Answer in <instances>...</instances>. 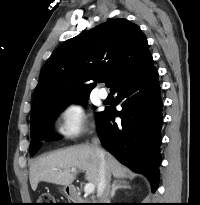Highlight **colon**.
I'll list each match as a JSON object with an SVG mask.
<instances>
[{"label":"colon","instance_id":"obj_1","mask_svg":"<svg viewBox=\"0 0 200 205\" xmlns=\"http://www.w3.org/2000/svg\"><path fill=\"white\" fill-rule=\"evenodd\" d=\"M54 198L50 194H42L38 199V205H53Z\"/></svg>","mask_w":200,"mask_h":205}]
</instances>
